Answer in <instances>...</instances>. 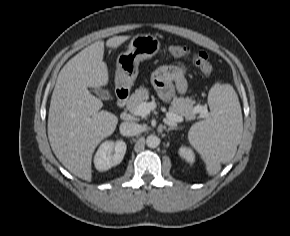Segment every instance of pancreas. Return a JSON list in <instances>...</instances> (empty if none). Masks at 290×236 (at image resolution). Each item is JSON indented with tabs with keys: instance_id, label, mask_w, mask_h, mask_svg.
Returning a JSON list of instances; mask_svg holds the SVG:
<instances>
[{
	"instance_id": "obj_1",
	"label": "pancreas",
	"mask_w": 290,
	"mask_h": 236,
	"mask_svg": "<svg viewBox=\"0 0 290 236\" xmlns=\"http://www.w3.org/2000/svg\"><path fill=\"white\" fill-rule=\"evenodd\" d=\"M149 99V91L145 87H140L131 95L127 102V109L133 116H138L135 114L136 108L142 104L146 103ZM195 101L192 98H174L169 107V112L184 117L187 121L195 119L198 113L194 106Z\"/></svg>"
}]
</instances>
